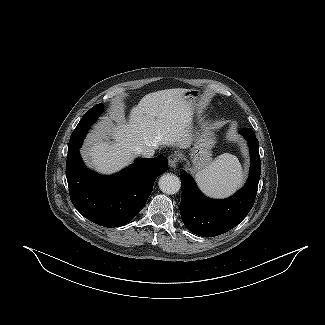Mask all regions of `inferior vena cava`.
Returning a JSON list of instances; mask_svg holds the SVG:
<instances>
[{
  "label": "inferior vena cava",
  "instance_id": "1",
  "mask_svg": "<svg viewBox=\"0 0 325 325\" xmlns=\"http://www.w3.org/2000/svg\"><path fill=\"white\" fill-rule=\"evenodd\" d=\"M138 153L141 154L143 157L151 158L155 154V148L153 147L140 148L138 150Z\"/></svg>",
  "mask_w": 325,
  "mask_h": 325
}]
</instances>
